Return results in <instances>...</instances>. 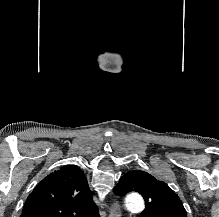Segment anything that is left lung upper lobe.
<instances>
[{
    "mask_svg": "<svg viewBox=\"0 0 219 217\" xmlns=\"http://www.w3.org/2000/svg\"><path fill=\"white\" fill-rule=\"evenodd\" d=\"M140 193L146 207L140 217H187L177 194L163 181L156 180L147 172L133 170L123 175L114 188L116 195L128 192Z\"/></svg>",
    "mask_w": 219,
    "mask_h": 217,
    "instance_id": "1",
    "label": "left lung upper lobe"
}]
</instances>
